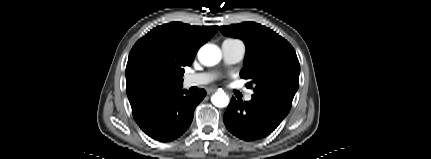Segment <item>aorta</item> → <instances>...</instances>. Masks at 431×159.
I'll return each mask as SVG.
<instances>
[{
  "label": "aorta",
  "instance_id": "aorta-1",
  "mask_svg": "<svg viewBox=\"0 0 431 159\" xmlns=\"http://www.w3.org/2000/svg\"><path fill=\"white\" fill-rule=\"evenodd\" d=\"M199 61L206 66H213L221 60V51L215 45H204L198 53ZM211 101L216 107H226L229 103V98L224 92H216Z\"/></svg>",
  "mask_w": 431,
  "mask_h": 159
}]
</instances>
